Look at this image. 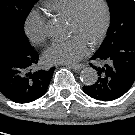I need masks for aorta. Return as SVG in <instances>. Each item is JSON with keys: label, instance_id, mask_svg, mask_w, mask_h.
I'll use <instances>...</instances> for the list:
<instances>
[{"label": "aorta", "instance_id": "1", "mask_svg": "<svg viewBox=\"0 0 135 135\" xmlns=\"http://www.w3.org/2000/svg\"><path fill=\"white\" fill-rule=\"evenodd\" d=\"M47 32H48L49 36H51L53 38H59L63 34L62 28L60 26H57L54 24L48 25ZM80 79L84 84L92 85V84L96 83V81L98 79V74L95 69H93L91 67H86L81 71Z\"/></svg>", "mask_w": 135, "mask_h": 135}]
</instances>
